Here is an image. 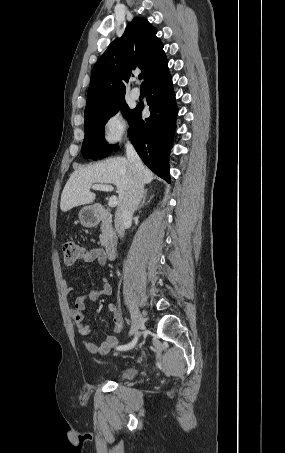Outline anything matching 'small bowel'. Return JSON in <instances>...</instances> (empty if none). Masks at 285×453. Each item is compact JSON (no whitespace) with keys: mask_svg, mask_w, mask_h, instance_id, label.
Wrapping results in <instances>:
<instances>
[{"mask_svg":"<svg viewBox=\"0 0 285 453\" xmlns=\"http://www.w3.org/2000/svg\"><path fill=\"white\" fill-rule=\"evenodd\" d=\"M81 259L85 262H92L97 261L100 265H104L106 263V254L105 251L101 248H92V249H85L83 250ZM73 291V287L67 285L66 292L71 293ZM111 293V285L107 282V280H103V285L100 290H90L87 294L79 296L76 298L74 307L71 310V317L73 320L75 330L84 337L82 340V344L84 348L92 353V354H99V355H106L112 349L117 347L118 340L116 335L121 333L124 328V321L122 315L117 308V306L113 303L108 304V311L112 315L113 327H112V335L108 336L102 343L95 344L94 342L88 339V336L91 334L90 327L88 323L84 320L83 311L86 307V300L90 302H96L102 296H107Z\"/></svg>","mask_w":285,"mask_h":453,"instance_id":"1","label":"small bowel"}]
</instances>
